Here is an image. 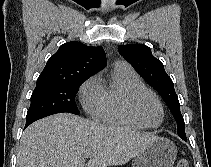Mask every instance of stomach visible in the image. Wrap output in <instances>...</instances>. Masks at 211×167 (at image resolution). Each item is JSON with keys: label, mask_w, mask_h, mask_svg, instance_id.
Instances as JSON below:
<instances>
[{"label": "stomach", "mask_w": 211, "mask_h": 167, "mask_svg": "<svg viewBox=\"0 0 211 167\" xmlns=\"http://www.w3.org/2000/svg\"><path fill=\"white\" fill-rule=\"evenodd\" d=\"M177 148L168 139L156 137L138 156L132 167H173Z\"/></svg>", "instance_id": "obj_1"}]
</instances>
